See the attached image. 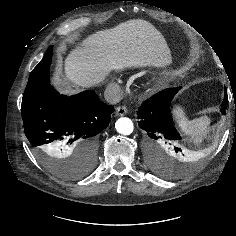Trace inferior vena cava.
<instances>
[{
    "label": "inferior vena cava",
    "instance_id": "602c4592",
    "mask_svg": "<svg viewBox=\"0 0 236 236\" xmlns=\"http://www.w3.org/2000/svg\"><path fill=\"white\" fill-rule=\"evenodd\" d=\"M104 97L108 103L116 104L122 100L123 91L118 85H111L105 90Z\"/></svg>",
    "mask_w": 236,
    "mask_h": 236
}]
</instances>
